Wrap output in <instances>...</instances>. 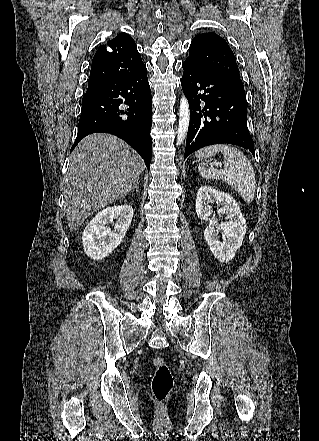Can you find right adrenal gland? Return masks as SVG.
Listing matches in <instances>:
<instances>
[{
  "instance_id": "2a0ac1e0",
  "label": "right adrenal gland",
  "mask_w": 319,
  "mask_h": 441,
  "mask_svg": "<svg viewBox=\"0 0 319 441\" xmlns=\"http://www.w3.org/2000/svg\"><path fill=\"white\" fill-rule=\"evenodd\" d=\"M133 190H136L137 193L139 192V181H137Z\"/></svg>"
}]
</instances>
